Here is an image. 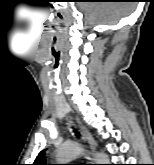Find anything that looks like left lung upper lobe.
Instances as JSON below:
<instances>
[{
    "instance_id": "1",
    "label": "left lung upper lobe",
    "mask_w": 154,
    "mask_h": 165,
    "mask_svg": "<svg viewBox=\"0 0 154 165\" xmlns=\"http://www.w3.org/2000/svg\"><path fill=\"white\" fill-rule=\"evenodd\" d=\"M44 155H45V150H42V151L38 154V156L36 157V159H35L33 165H47V164L45 163V157H44Z\"/></svg>"
}]
</instances>
